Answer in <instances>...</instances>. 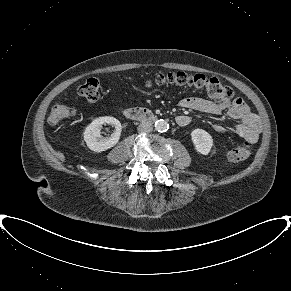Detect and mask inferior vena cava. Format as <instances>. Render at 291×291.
Instances as JSON below:
<instances>
[{"label":"inferior vena cava","instance_id":"inferior-vena-cava-1","mask_svg":"<svg viewBox=\"0 0 291 291\" xmlns=\"http://www.w3.org/2000/svg\"><path fill=\"white\" fill-rule=\"evenodd\" d=\"M153 130V126L151 123L149 122H142L139 126H138V131L140 133H149L152 132Z\"/></svg>","mask_w":291,"mask_h":291}]
</instances>
